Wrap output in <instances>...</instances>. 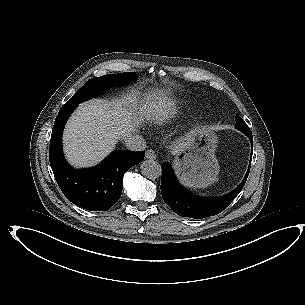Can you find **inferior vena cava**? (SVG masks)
I'll list each match as a JSON object with an SVG mask.
<instances>
[{"label": "inferior vena cava", "mask_w": 305, "mask_h": 305, "mask_svg": "<svg viewBox=\"0 0 305 305\" xmlns=\"http://www.w3.org/2000/svg\"><path fill=\"white\" fill-rule=\"evenodd\" d=\"M125 146L131 151H143L146 148V141L142 136H130L125 140Z\"/></svg>", "instance_id": "1"}]
</instances>
